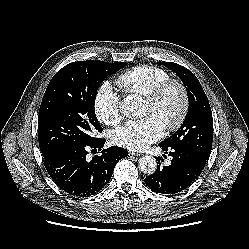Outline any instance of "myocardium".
I'll return each mask as SVG.
<instances>
[{"label":"myocardium","mask_w":249,"mask_h":249,"mask_svg":"<svg viewBox=\"0 0 249 249\" xmlns=\"http://www.w3.org/2000/svg\"><path fill=\"white\" fill-rule=\"evenodd\" d=\"M172 88H174L179 95V105L174 118L165 126L168 132L178 130L187 116L189 110V94L186 86L178 79L169 78L144 95L145 101L156 107Z\"/></svg>","instance_id":"f54148a6"}]
</instances>
